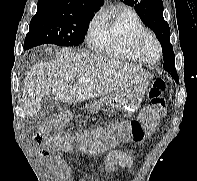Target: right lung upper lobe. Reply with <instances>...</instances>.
<instances>
[{"label":"right lung upper lobe","instance_id":"1","mask_svg":"<svg viewBox=\"0 0 197 181\" xmlns=\"http://www.w3.org/2000/svg\"><path fill=\"white\" fill-rule=\"evenodd\" d=\"M104 0H38L37 11L64 15L95 13Z\"/></svg>","mask_w":197,"mask_h":181}]
</instances>
